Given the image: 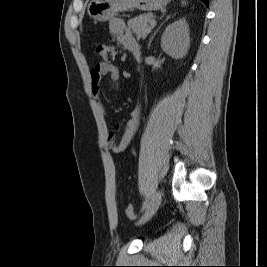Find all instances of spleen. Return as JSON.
Returning a JSON list of instances; mask_svg holds the SVG:
<instances>
[{"instance_id": "obj_1", "label": "spleen", "mask_w": 267, "mask_h": 267, "mask_svg": "<svg viewBox=\"0 0 267 267\" xmlns=\"http://www.w3.org/2000/svg\"><path fill=\"white\" fill-rule=\"evenodd\" d=\"M182 4H186V2L183 1Z\"/></svg>"}]
</instances>
